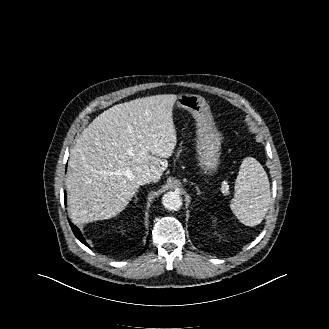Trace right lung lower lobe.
<instances>
[{
  "mask_svg": "<svg viewBox=\"0 0 329 329\" xmlns=\"http://www.w3.org/2000/svg\"><path fill=\"white\" fill-rule=\"evenodd\" d=\"M65 199L66 198H65V192H64V201H65ZM70 226H71V229H72L74 235L76 236V238L79 239L83 244H85L86 246L89 247V245L84 241V238H83L82 234L80 233V230L71 223H70ZM147 246H148V242H147L146 248H147Z\"/></svg>",
  "mask_w": 329,
  "mask_h": 329,
  "instance_id": "obj_1",
  "label": "right lung lower lobe"
}]
</instances>
